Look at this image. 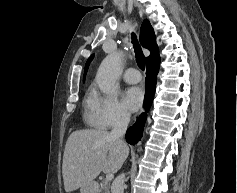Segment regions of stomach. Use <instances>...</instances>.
<instances>
[{"mask_svg": "<svg viewBox=\"0 0 237 193\" xmlns=\"http://www.w3.org/2000/svg\"><path fill=\"white\" fill-rule=\"evenodd\" d=\"M80 193H97V185L94 182L88 183L80 188Z\"/></svg>", "mask_w": 237, "mask_h": 193, "instance_id": "0dacf381", "label": "stomach"}]
</instances>
